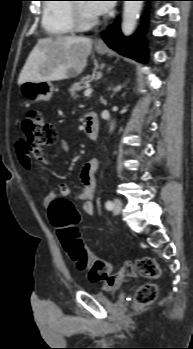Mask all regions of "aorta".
Instances as JSON below:
<instances>
[{
  "instance_id": "aorta-1",
  "label": "aorta",
  "mask_w": 193,
  "mask_h": 349,
  "mask_svg": "<svg viewBox=\"0 0 193 349\" xmlns=\"http://www.w3.org/2000/svg\"><path fill=\"white\" fill-rule=\"evenodd\" d=\"M143 1H125L123 9L122 32L125 36H130L137 24ZM114 123L111 124L110 130H113Z\"/></svg>"
}]
</instances>
